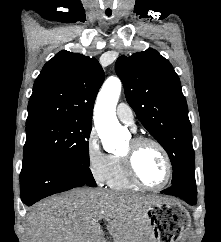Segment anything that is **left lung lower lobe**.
I'll return each instance as SVG.
<instances>
[{"instance_id":"obj_1","label":"left lung lower lobe","mask_w":221,"mask_h":242,"mask_svg":"<svg viewBox=\"0 0 221 242\" xmlns=\"http://www.w3.org/2000/svg\"><path fill=\"white\" fill-rule=\"evenodd\" d=\"M161 193L180 197L188 204L195 205L197 203L195 176L185 177L181 181L172 184L170 188L161 191Z\"/></svg>"}]
</instances>
